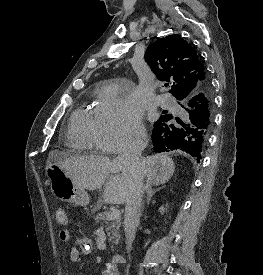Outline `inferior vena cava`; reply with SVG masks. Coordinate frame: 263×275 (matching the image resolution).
Returning <instances> with one entry per match:
<instances>
[{
    "mask_svg": "<svg viewBox=\"0 0 263 275\" xmlns=\"http://www.w3.org/2000/svg\"><path fill=\"white\" fill-rule=\"evenodd\" d=\"M147 145L146 137L138 138L123 145L116 160L121 166L122 175L128 182L126 196L124 231L127 250H131L136 228L140 221L143 189V173L140 167L142 151Z\"/></svg>",
    "mask_w": 263,
    "mask_h": 275,
    "instance_id": "obj_1",
    "label": "inferior vena cava"
}]
</instances>
